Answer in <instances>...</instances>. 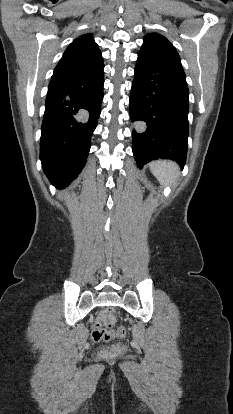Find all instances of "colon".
<instances>
[{"mask_svg":"<svg viewBox=\"0 0 233 414\" xmlns=\"http://www.w3.org/2000/svg\"><path fill=\"white\" fill-rule=\"evenodd\" d=\"M115 322V310L113 308H107L101 311L92 326V339L95 342H107L114 338L122 339L126 336V329L123 326L117 327L115 330H109ZM105 326L107 329L102 328ZM100 355L104 358H109L112 353L108 350H101Z\"/></svg>","mask_w":233,"mask_h":414,"instance_id":"1","label":"colon"}]
</instances>
